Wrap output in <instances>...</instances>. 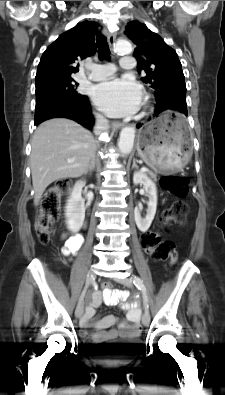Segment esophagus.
I'll use <instances>...</instances> for the list:
<instances>
[{
  "label": "esophagus",
  "mask_w": 225,
  "mask_h": 395,
  "mask_svg": "<svg viewBox=\"0 0 225 395\" xmlns=\"http://www.w3.org/2000/svg\"><path fill=\"white\" fill-rule=\"evenodd\" d=\"M103 32H104L105 36H107L109 45H110L111 47H113L114 42H115V39H116V33L110 32L106 27H104ZM123 125H124V124L121 123V122H113V123H112V127H113L114 129H119V128L123 127Z\"/></svg>",
  "instance_id": "34e87169"
}]
</instances>
